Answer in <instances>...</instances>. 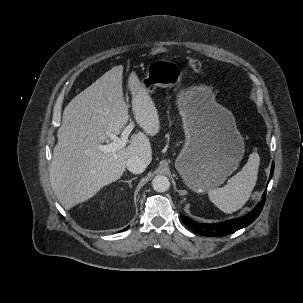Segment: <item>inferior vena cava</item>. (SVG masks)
<instances>
[{"mask_svg": "<svg viewBox=\"0 0 303 303\" xmlns=\"http://www.w3.org/2000/svg\"><path fill=\"white\" fill-rule=\"evenodd\" d=\"M148 164L146 159L140 156H134L127 160L126 167L130 172L140 174L145 171Z\"/></svg>", "mask_w": 303, "mask_h": 303, "instance_id": "obj_1", "label": "inferior vena cava"}]
</instances>
